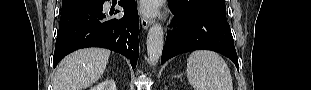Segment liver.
Wrapping results in <instances>:
<instances>
[{
  "label": "liver",
  "instance_id": "1",
  "mask_svg": "<svg viewBox=\"0 0 311 90\" xmlns=\"http://www.w3.org/2000/svg\"><path fill=\"white\" fill-rule=\"evenodd\" d=\"M110 51L86 48L66 56L59 64L53 80L54 90H83L104 73Z\"/></svg>",
  "mask_w": 311,
  "mask_h": 90
}]
</instances>
